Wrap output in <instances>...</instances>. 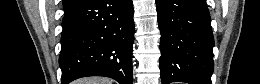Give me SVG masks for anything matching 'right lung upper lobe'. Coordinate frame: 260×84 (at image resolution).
Segmentation results:
<instances>
[{
    "instance_id": "1",
    "label": "right lung upper lobe",
    "mask_w": 260,
    "mask_h": 84,
    "mask_svg": "<svg viewBox=\"0 0 260 84\" xmlns=\"http://www.w3.org/2000/svg\"><path fill=\"white\" fill-rule=\"evenodd\" d=\"M84 1L85 0H64L63 1L64 13L74 10Z\"/></svg>"
}]
</instances>
